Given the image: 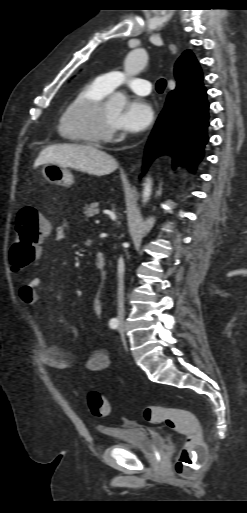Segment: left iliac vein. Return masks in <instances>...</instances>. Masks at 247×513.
I'll return each mask as SVG.
<instances>
[{
    "mask_svg": "<svg viewBox=\"0 0 247 513\" xmlns=\"http://www.w3.org/2000/svg\"><path fill=\"white\" fill-rule=\"evenodd\" d=\"M119 332H120L123 344L126 345L125 329H124V325L123 324L120 325Z\"/></svg>",
    "mask_w": 247,
    "mask_h": 513,
    "instance_id": "left-iliac-vein-1",
    "label": "left iliac vein"
}]
</instances>
